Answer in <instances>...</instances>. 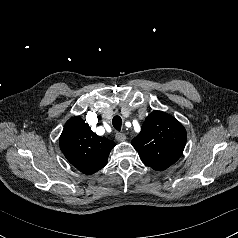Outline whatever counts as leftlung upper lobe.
I'll use <instances>...</instances> for the list:
<instances>
[{
  "mask_svg": "<svg viewBox=\"0 0 238 238\" xmlns=\"http://www.w3.org/2000/svg\"><path fill=\"white\" fill-rule=\"evenodd\" d=\"M186 138L185 128L173 116L154 111L146 117L131 144L145 165L162 171L181 157Z\"/></svg>",
  "mask_w": 238,
  "mask_h": 238,
  "instance_id": "obj_1",
  "label": "left lung upper lobe"
}]
</instances>
